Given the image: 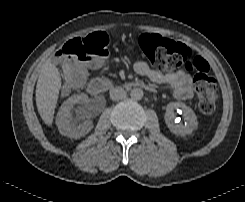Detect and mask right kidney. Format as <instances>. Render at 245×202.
<instances>
[{
    "label": "right kidney",
    "instance_id": "1",
    "mask_svg": "<svg viewBox=\"0 0 245 202\" xmlns=\"http://www.w3.org/2000/svg\"><path fill=\"white\" fill-rule=\"evenodd\" d=\"M87 101L88 96L81 93L73 95L63 102L56 116V124L62 135L70 138H80L93 128L92 122L88 120L76 125L77 121L85 119V116L80 107L74 109V106L76 104H84ZM74 112L76 113L75 118L73 117Z\"/></svg>",
    "mask_w": 245,
    "mask_h": 202
}]
</instances>
